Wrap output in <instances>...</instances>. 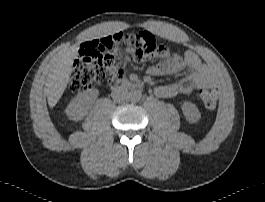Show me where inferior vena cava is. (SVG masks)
<instances>
[{
	"label": "inferior vena cava",
	"instance_id": "inferior-vena-cava-1",
	"mask_svg": "<svg viewBox=\"0 0 265 202\" xmlns=\"http://www.w3.org/2000/svg\"><path fill=\"white\" fill-rule=\"evenodd\" d=\"M129 95L130 92L122 86L116 87L111 93L113 100L118 103L126 101L129 98Z\"/></svg>",
	"mask_w": 265,
	"mask_h": 202
}]
</instances>
